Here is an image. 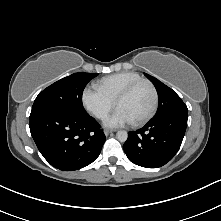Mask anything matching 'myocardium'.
Segmentation results:
<instances>
[{"mask_svg": "<svg viewBox=\"0 0 221 221\" xmlns=\"http://www.w3.org/2000/svg\"><path fill=\"white\" fill-rule=\"evenodd\" d=\"M142 84H148L153 92V104L152 107L150 109V111L141 119L133 121L132 123L136 126H140L143 125L145 123H147L156 113L157 108H158V102H159V95H158V90L156 88V86L154 85L153 82H151L148 79H140L138 81H135L133 83H131L129 86H127L117 97L115 104L118 107L119 103L121 101H123L124 99H126L138 86L142 85Z\"/></svg>", "mask_w": 221, "mask_h": 221, "instance_id": "1", "label": "myocardium"}]
</instances>
